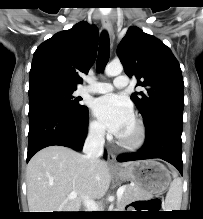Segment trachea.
Instances as JSON below:
<instances>
[{"mask_svg": "<svg viewBox=\"0 0 203 219\" xmlns=\"http://www.w3.org/2000/svg\"><path fill=\"white\" fill-rule=\"evenodd\" d=\"M110 55V42L109 36L106 31H103L100 36L99 51L97 58V70L102 72L109 60Z\"/></svg>", "mask_w": 203, "mask_h": 219, "instance_id": "1", "label": "trachea"}]
</instances>
